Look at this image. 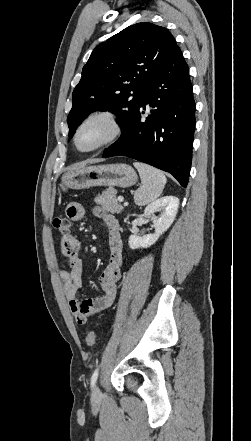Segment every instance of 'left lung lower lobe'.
Returning a JSON list of instances; mask_svg holds the SVG:
<instances>
[{
    "instance_id": "1",
    "label": "left lung lower lobe",
    "mask_w": 251,
    "mask_h": 441,
    "mask_svg": "<svg viewBox=\"0 0 251 441\" xmlns=\"http://www.w3.org/2000/svg\"><path fill=\"white\" fill-rule=\"evenodd\" d=\"M154 110L146 117V105ZM195 101L189 68L178 46L146 86V97L105 149L103 158L127 156L171 173L186 187L195 131Z\"/></svg>"
}]
</instances>
